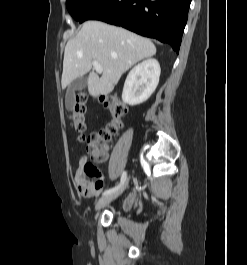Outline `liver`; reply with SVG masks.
Segmentation results:
<instances>
[{
    "mask_svg": "<svg viewBox=\"0 0 247 265\" xmlns=\"http://www.w3.org/2000/svg\"><path fill=\"white\" fill-rule=\"evenodd\" d=\"M155 54L156 47L149 39L100 21H87L66 44L62 88L89 73V94L94 97L108 95L123 73L140 60ZM93 61L101 65V77L92 70Z\"/></svg>",
    "mask_w": 247,
    "mask_h": 265,
    "instance_id": "1",
    "label": "liver"
}]
</instances>
